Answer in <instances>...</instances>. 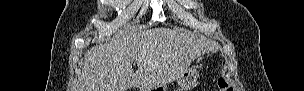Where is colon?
Instances as JSON below:
<instances>
[{
  "label": "colon",
  "instance_id": "1",
  "mask_svg": "<svg viewBox=\"0 0 304 91\" xmlns=\"http://www.w3.org/2000/svg\"><path fill=\"white\" fill-rule=\"evenodd\" d=\"M218 88L220 91H232L233 89L229 86V84L222 78L218 80Z\"/></svg>",
  "mask_w": 304,
  "mask_h": 91
}]
</instances>
